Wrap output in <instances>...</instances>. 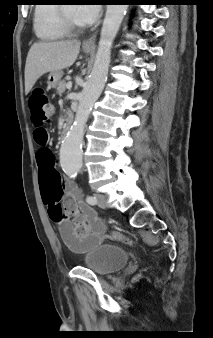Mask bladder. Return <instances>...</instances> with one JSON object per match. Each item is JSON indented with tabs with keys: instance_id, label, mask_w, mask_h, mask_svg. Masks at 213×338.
<instances>
[{
	"instance_id": "bladder-1",
	"label": "bladder",
	"mask_w": 213,
	"mask_h": 338,
	"mask_svg": "<svg viewBox=\"0 0 213 338\" xmlns=\"http://www.w3.org/2000/svg\"><path fill=\"white\" fill-rule=\"evenodd\" d=\"M129 253L119 245H101L94 247L84 255L86 268L98 276H108L127 265Z\"/></svg>"
}]
</instances>
